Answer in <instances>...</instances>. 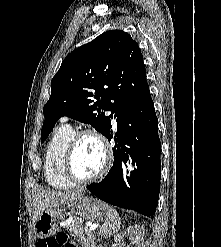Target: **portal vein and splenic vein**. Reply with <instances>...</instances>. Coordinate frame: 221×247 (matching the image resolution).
<instances>
[{
	"instance_id": "18ae733b",
	"label": "portal vein and splenic vein",
	"mask_w": 221,
	"mask_h": 247,
	"mask_svg": "<svg viewBox=\"0 0 221 247\" xmlns=\"http://www.w3.org/2000/svg\"><path fill=\"white\" fill-rule=\"evenodd\" d=\"M89 230V232H92V229L90 228V229H88Z\"/></svg>"
}]
</instances>
